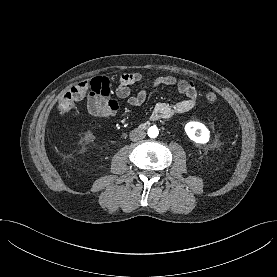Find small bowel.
I'll list each match as a JSON object with an SVG mask.
<instances>
[{
  "label": "small bowel",
  "instance_id": "obj_1",
  "mask_svg": "<svg viewBox=\"0 0 277 277\" xmlns=\"http://www.w3.org/2000/svg\"><path fill=\"white\" fill-rule=\"evenodd\" d=\"M143 76L139 72L125 73L120 76L119 84L115 93L120 99H124L131 106H141L148 95L161 86H174L178 93L185 98L175 104L159 102L155 105L152 113V120L170 119L175 114L190 111L196 104L198 91L195 84L190 80L177 79L174 76H158L136 94H132L131 87L139 83ZM88 83V90L83 97H86L88 113L95 118L109 120L118 110L117 101L111 97V80L108 77H96ZM82 97V98H83ZM81 98V99H82Z\"/></svg>",
  "mask_w": 277,
  "mask_h": 277
}]
</instances>
